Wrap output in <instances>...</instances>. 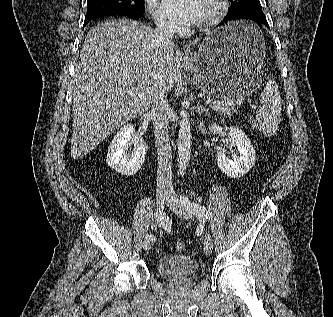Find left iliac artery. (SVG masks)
I'll list each match as a JSON object with an SVG mask.
<instances>
[{"label":"left iliac artery","mask_w":333,"mask_h":317,"mask_svg":"<svg viewBox=\"0 0 333 317\" xmlns=\"http://www.w3.org/2000/svg\"><path fill=\"white\" fill-rule=\"evenodd\" d=\"M179 200L182 205L188 208L191 213L197 215L200 219H207L209 217L208 210L205 206L196 202H191L186 196H180Z\"/></svg>","instance_id":"1"}]
</instances>
